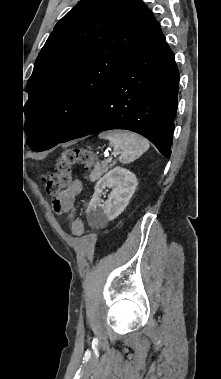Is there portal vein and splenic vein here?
Wrapping results in <instances>:
<instances>
[{
    "mask_svg": "<svg viewBox=\"0 0 221 379\" xmlns=\"http://www.w3.org/2000/svg\"><path fill=\"white\" fill-rule=\"evenodd\" d=\"M113 157L112 156H108L107 159H106V163H110L112 161Z\"/></svg>",
    "mask_w": 221,
    "mask_h": 379,
    "instance_id": "18ae733b",
    "label": "portal vein and splenic vein"
}]
</instances>
